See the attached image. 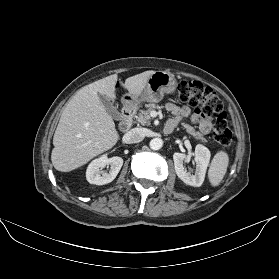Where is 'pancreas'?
I'll return each instance as SVG.
<instances>
[{
  "mask_svg": "<svg viewBox=\"0 0 279 279\" xmlns=\"http://www.w3.org/2000/svg\"><path fill=\"white\" fill-rule=\"evenodd\" d=\"M159 106L154 104V103H149L146 105V109L145 110H141L140 113L138 114V116H136V120L138 123H140L143 126H148L150 125V112L152 110L158 109ZM182 126L186 129V131L192 135L195 139L200 140L203 143H206L207 140L206 138L203 137V134H201L200 132L196 131L195 128H193L190 125L187 124H182Z\"/></svg>",
  "mask_w": 279,
  "mask_h": 279,
  "instance_id": "1",
  "label": "pancreas"
}]
</instances>
